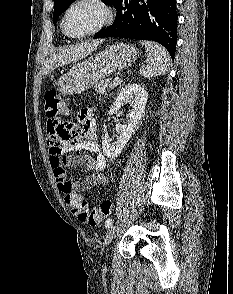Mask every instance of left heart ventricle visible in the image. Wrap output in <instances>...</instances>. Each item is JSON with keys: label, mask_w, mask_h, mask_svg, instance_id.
I'll list each match as a JSON object with an SVG mask.
<instances>
[{"label": "left heart ventricle", "mask_w": 233, "mask_h": 294, "mask_svg": "<svg viewBox=\"0 0 233 294\" xmlns=\"http://www.w3.org/2000/svg\"><path fill=\"white\" fill-rule=\"evenodd\" d=\"M102 10L91 3H83L73 8L66 19V30L72 35L86 33L102 20Z\"/></svg>", "instance_id": "b2bd125f"}]
</instances>
